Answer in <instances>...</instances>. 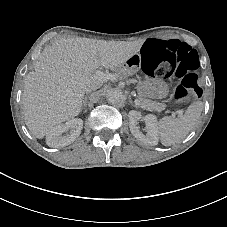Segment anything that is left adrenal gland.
<instances>
[{
    "instance_id": "left-adrenal-gland-1",
    "label": "left adrenal gland",
    "mask_w": 227,
    "mask_h": 227,
    "mask_svg": "<svg viewBox=\"0 0 227 227\" xmlns=\"http://www.w3.org/2000/svg\"><path fill=\"white\" fill-rule=\"evenodd\" d=\"M131 104H132V106H134L136 109H138V105H137V104H135V103H133V102H131Z\"/></svg>"
}]
</instances>
